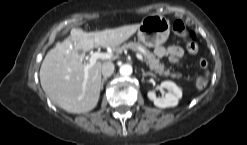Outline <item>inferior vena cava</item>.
Returning a JSON list of instances; mask_svg holds the SVG:
<instances>
[{
    "label": "inferior vena cava",
    "mask_w": 247,
    "mask_h": 145,
    "mask_svg": "<svg viewBox=\"0 0 247 145\" xmlns=\"http://www.w3.org/2000/svg\"><path fill=\"white\" fill-rule=\"evenodd\" d=\"M115 66L111 61L102 64L101 72L104 77H110L114 72Z\"/></svg>",
    "instance_id": "602c4592"
}]
</instances>
